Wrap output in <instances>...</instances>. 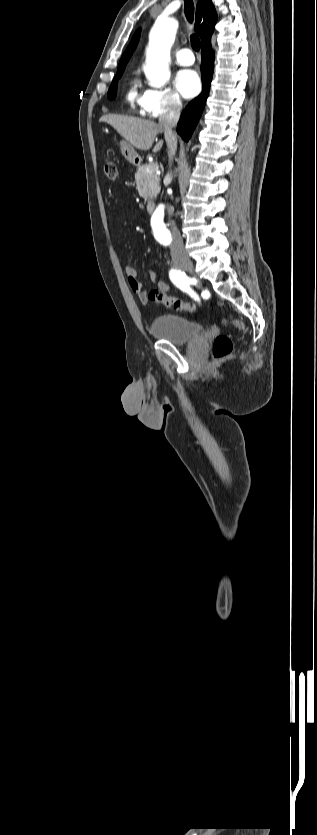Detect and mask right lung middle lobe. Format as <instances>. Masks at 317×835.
Segmentation results:
<instances>
[{
  "label": "right lung middle lobe",
  "instance_id": "obj_1",
  "mask_svg": "<svg viewBox=\"0 0 317 835\" xmlns=\"http://www.w3.org/2000/svg\"><path fill=\"white\" fill-rule=\"evenodd\" d=\"M125 69V65L119 66L117 70V75L115 76L109 90H108V98L114 99L116 97V90H117V79L122 76V73Z\"/></svg>",
  "mask_w": 317,
  "mask_h": 835
}]
</instances>
